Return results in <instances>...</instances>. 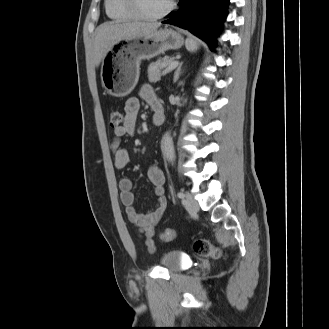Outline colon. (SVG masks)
<instances>
[{"label":"colon","mask_w":329,"mask_h":329,"mask_svg":"<svg viewBox=\"0 0 329 329\" xmlns=\"http://www.w3.org/2000/svg\"><path fill=\"white\" fill-rule=\"evenodd\" d=\"M124 123V114L119 109H113L110 112V125L112 127H120ZM161 240L170 242L175 238V230L167 227L162 229L160 233ZM194 252L201 257L219 258L221 253L206 238H198L193 242Z\"/></svg>","instance_id":"1"}]
</instances>
